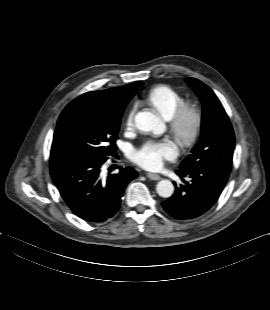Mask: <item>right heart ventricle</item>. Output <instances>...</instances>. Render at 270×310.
Listing matches in <instances>:
<instances>
[{
    "label": "right heart ventricle",
    "instance_id": "obj_1",
    "mask_svg": "<svg viewBox=\"0 0 270 310\" xmlns=\"http://www.w3.org/2000/svg\"><path fill=\"white\" fill-rule=\"evenodd\" d=\"M147 100L165 119H170L184 103L183 97L167 85H158L151 89Z\"/></svg>",
    "mask_w": 270,
    "mask_h": 310
}]
</instances>
